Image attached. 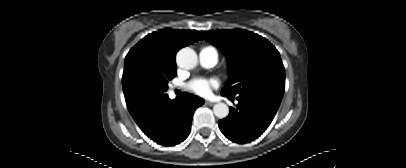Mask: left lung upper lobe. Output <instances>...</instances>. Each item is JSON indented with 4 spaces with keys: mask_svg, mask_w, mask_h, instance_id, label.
Wrapping results in <instances>:
<instances>
[{
    "mask_svg": "<svg viewBox=\"0 0 406 168\" xmlns=\"http://www.w3.org/2000/svg\"><path fill=\"white\" fill-rule=\"evenodd\" d=\"M229 61L228 84L222 95L268 94L283 97L285 68L276 48L252 32L233 29L203 32Z\"/></svg>",
    "mask_w": 406,
    "mask_h": 168,
    "instance_id": "left-lung-upper-lobe-1",
    "label": "left lung upper lobe"
}]
</instances>
